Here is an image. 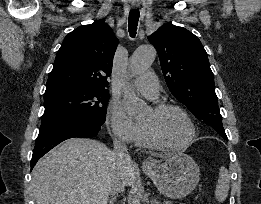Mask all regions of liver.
<instances>
[{
  "instance_id": "1",
  "label": "liver",
  "mask_w": 261,
  "mask_h": 204,
  "mask_svg": "<svg viewBox=\"0 0 261 204\" xmlns=\"http://www.w3.org/2000/svg\"><path fill=\"white\" fill-rule=\"evenodd\" d=\"M136 174L131 158L118 169L105 144L72 138L37 162L32 188L36 204H107L114 177L119 175L130 186Z\"/></svg>"
}]
</instances>
